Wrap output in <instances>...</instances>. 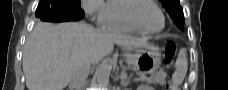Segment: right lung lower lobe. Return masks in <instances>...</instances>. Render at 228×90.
I'll list each match as a JSON object with an SVG mask.
<instances>
[{"mask_svg": "<svg viewBox=\"0 0 228 90\" xmlns=\"http://www.w3.org/2000/svg\"><path fill=\"white\" fill-rule=\"evenodd\" d=\"M35 14L38 19L49 22L78 21L84 16L82 11L81 14L71 17L55 6L54 3L39 4Z\"/></svg>", "mask_w": 228, "mask_h": 90, "instance_id": "right-lung-lower-lobe-1", "label": "right lung lower lobe"}]
</instances>
